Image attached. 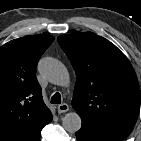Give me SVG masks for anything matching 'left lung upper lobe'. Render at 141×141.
<instances>
[{"mask_svg":"<svg viewBox=\"0 0 141 141\" xmlns=\"http://www.w3.org/2000/svg\"><path fill=\"white\" fill-rule=\"evenodd\" d=\"M57 40L76 72L72 106L82 127L122 141L140 108V87L131 63L114 44L92 32Z\"/></svg>","mask_w":141,"mask_h":141,"instance_id":"5c2ea615","label":"left lung upper lobe"}]
</instances>
